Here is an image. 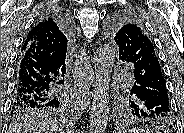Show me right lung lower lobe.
<instances>
[{"label": "right lung lower lobe", "mask_w": 184, "mask_h": 133, "mask_svg": "<svg viewBox=\"0 0 184 133\" xmlns=\"http://www.w3.org/2000/svg\"><path fill=\"white\" fill-rule=\"evenodd\" d=\"M51 12L70 36L72 23L66 11L55 9ZM65 57L45 56L30 48L20 54L15 74L14 104L41 106L61 98L62 91L55 90L53 83L63 77L57 83L64 84Z\"/></svg>", "instance_id": "98d812e1"}]
</instances>
